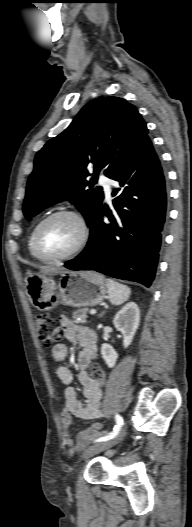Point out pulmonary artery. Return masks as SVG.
<instances>
[{
  "label": "pulmonary artery",
  "mask_w": 192,
  "mask_h": 527,
  "mask_svg": "<svg viewBox=\"0 0 192 527\" xmlns=\"http://www.w3.org/2000/svg\"><path fill=\"white\" fill-rule=\"evenodd\" d=\"M99 182L103 186L104 193H105V196H106L107 200H110L111 199V192H112V189H111L112 182H111V180L108 177H106L105 175H100L99 176Z\"/></svg>",
  "instance_id": "pulmonary-artery-1"
}]
</instances>
